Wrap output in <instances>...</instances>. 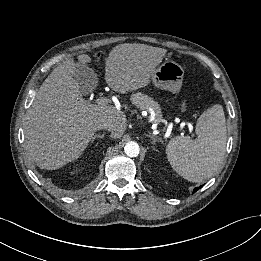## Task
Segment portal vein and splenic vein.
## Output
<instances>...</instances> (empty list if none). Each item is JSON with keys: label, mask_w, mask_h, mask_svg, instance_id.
<instances>
[{"label": "portal vein and splenic vein", "mask_w": 261, "mask_h": 261, "mask_svg": "<svg viewBox=\"0 0 261 261\" xmlns=\"http://www.w3.org/2000/svg\"><path fill=\"white\" fill-rule=\"evenodd\" d=\"M97 103H98L99 105L104 106V105H107V104L109 103V99L106 98V97H99V98L97 99ZM152 120H153V118L151 119V121H152Z\"/></svg>", "instance_id": "18ae733b"}]
</instances>
